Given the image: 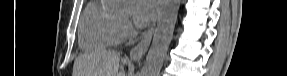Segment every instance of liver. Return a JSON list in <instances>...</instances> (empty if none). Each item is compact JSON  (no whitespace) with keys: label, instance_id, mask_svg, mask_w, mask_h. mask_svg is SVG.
<instances>
[{"label":"liver","instance_id":"liver-1","mask_svg":"<svg viewBox=\"0 0 287 76\" xmlns=\"http://www.w3.org/2000/svg\"><path fill=\"white\" fill-rule=\"evenodd\" d=\"M127 59L115 51L101 50L92 54H84L74 62V76H119L118 71Z\"/></svg>","mask_w":287,"mask_h":76}]
</instances>
